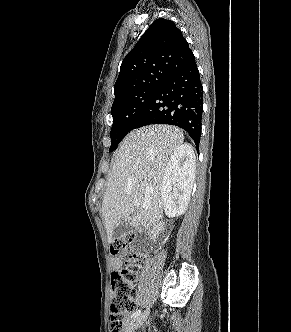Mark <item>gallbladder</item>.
I'll return each instance as SVG.
<instances>
[{
    "instance_id": "obj_1",
    "label": "gallbladder",
    "mask_w": 291,
    "mask_h": 332,
    "mask_svg": "<svg viewBox=\"0 0 291 332\" xmlns=\"http://www.w3.org/2000/svg\"><path fill=\"white\" fill-rule=\"evenodd\" d=\"M134 227L130 219L121 220L113 229L112 238L113 240H118L125 235L134 233Z\"/></svg>"
}]
</instances>
